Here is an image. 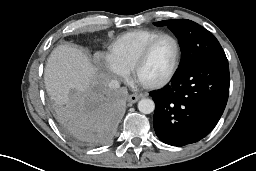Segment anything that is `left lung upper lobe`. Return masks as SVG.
<instances>
[{"label": "left lung upper lobe", "mask_w": 256, "mask_h": 171, "mask_svg": "<svg viewBox=\"0 0 256 171\" xmlns=\"http://www.w3.org/2000/svg\"><path fill=\"white\" fill-rule=\"evenodd\" d=\"M154 25H167L178 38L182 51L179 70L198 61L226 58L218 40L208 30L191 20H164L155 22Z\"/></svg>", "instance_id": "left-lung-upper-lobe-1"}]
</instances>
